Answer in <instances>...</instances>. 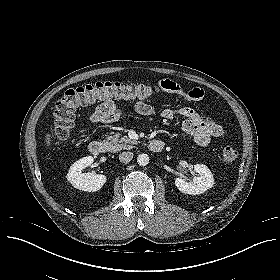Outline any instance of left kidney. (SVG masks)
I'll return each instance as SVG.
<instances>
[{
  "instance_id": "5707ae66",
  "label": "left kidney",
  "mask_w": 280,
  "mask_h": 280,
  "mask_svg": "<svg viewBox=\"0 0 280 280\" xmlns=\"http://www.w3.org/2000/svg\"><path fill=\"white\" fill-rule=\"evenodd\" d=\"M193 168L198 176L194 177L192 181H185L182 178L175 179V185L179 191L185 194L198 195L212 188L214 178L210 169L206 165L198 163L194 164Z\"/></svg>"
}]
</instances>
